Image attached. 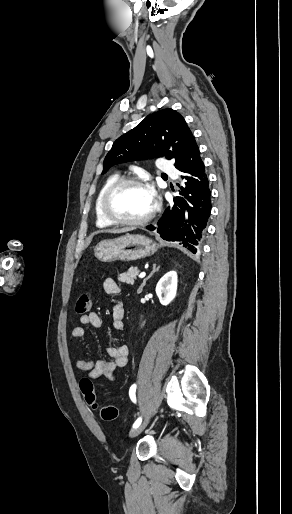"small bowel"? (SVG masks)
Here are the masks:
<instances>
[{
    "mask_svg": "<svg viewBox=\"0 0 292 514\" xmlns=\"http://www.w3.org/2000/svg\"><path fill=\"white\" fill-rule=\"evenodd\" d=\"M104 291L109 295H117L120 293V287L116 280L111 277L103 281ZM113 329L121 331L125 327V307L122 303H115L112 307ZM80 323L83 326H91L93 328H100L103 324L100 315L96 312H90L80 317ZM87 332L82 326H76L71 330V336L75 339H82L86 337ZM107 353L110 360L93 361L91 359H79L76 361L75 366L78 370L87 372L86 378L96 380L105 378L112 381L118 370L127 365L129 348L127 345H114L107 348Z\"/></svg>",
    "mask_w": 292,
    "mask_h": 514,
    "instance_id": "small-bowel-1",
    "label": "small bowel"
}]
</instances>
